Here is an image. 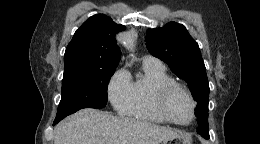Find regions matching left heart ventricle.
<instances>
[{
	"label": "left heart ventricle",
	"instance_id": "b2bd125f",
	"mask_svg": "<svg viewBox=\"0 0 260 144\" xmlns=\"http://www.w3.org/2000/svg\"><path fill=\"white\" fill-rule=\"evenodd\" d=\"M166 107L171 117L179 122H187L191 118V102L188 97L179 90L174 91L168 97Z\"/></svg>",
	"mask_w": 260,
	"mask_h": 144
}]
</instances>
